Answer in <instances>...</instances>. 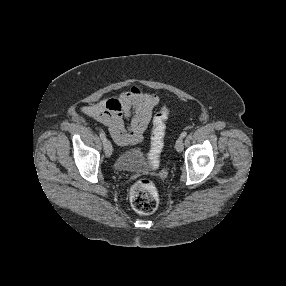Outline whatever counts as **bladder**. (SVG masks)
<instances>
[{"label":"bladder","instance_id":"31cf9c89","mask_svg":"<svg viewBox=\"0 0 286 286\" xmlns=\"http://www.w3.org/2000/svg\"><path fill=\"white\" fill-rule=\"evenodd\" d=\"M143 165V150L140 147L121 152L114 160V169L119 172L136 171Z\"/></svg>","mask_w":286,"mask_h":286}]
</instances>
